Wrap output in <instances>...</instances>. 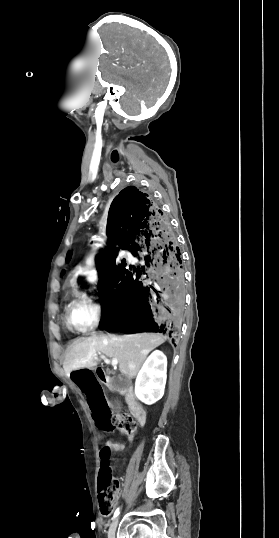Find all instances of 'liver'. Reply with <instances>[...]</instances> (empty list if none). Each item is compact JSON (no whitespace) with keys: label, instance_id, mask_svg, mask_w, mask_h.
Returning <instances> with one entry per match:
<instances>
[{"label":"liver","instance_id":"1","mask_svg":"<svg viewBox=\"0 0 279 538\" xmlns=\"http://www.w3.org/2000/svg\"><path fill=\"white\" fill-rule=\"evenodd\" d=\"M162 334H131V336H90L84 342L70 346L69 356L64 364L65 370H94L98 364L95 354H105L118 360L119 370L128 378L136 376L149 352L165 342Z\"/></svg>","mask_w":279,"mask_h":538}]
</instances>
